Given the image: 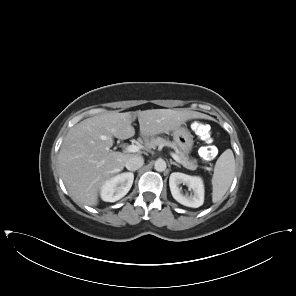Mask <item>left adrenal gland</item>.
I'll use <instances>...</instances> for the list:
<instances>
[{"instance_id": "obj_1", "label": "left adrenal gland", "mask_w": 296, "mask_h": 296, "mask_svg": "<svg viewBox=\"0 0 296 296\" xmlns=\"http://www.w3.org/2000/svg\"><path fill=\"white\" fill-rule=\"evenodd\" d=\"M170 164H173V165H175V166H177V167H181L179 164H177L176 162H174V161H172V160H170Z\"/></svg>"}]
</instances>
